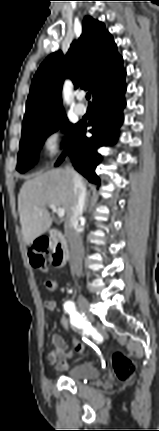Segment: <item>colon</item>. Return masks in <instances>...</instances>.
Instances as JSON below:
<instances>
[{
  "mask_svg": "<svg viewBox=\"0 0 159 431\" xmlns=\"http://www.w3.org/2000/svg\"><path fill=\"white\" fill-rule=\"evenodd\" d=\"M46 246L43 242L38 241L35 243L30 249V262L31 265L36 269H45V255ZM55 304L52 301L47 302V309L49 312H54ZM59 327L66 334H69L72 331L71 328V320L67 313L59 314ZM74 349L77 351L79 356L85 354V344H83L82 339L75 338L73 339ZM113 370L117 378L121 381L130 380L135 373V364L131 359H129L122 352H116L112 358Z\"/></svg>",
  "mask_w": 159,
  "mask_h": 431,
  "instance_id": "5ec220e1",
  "label": "colon"
}]
</instances>
